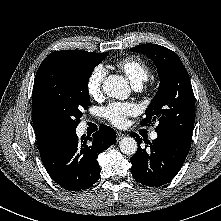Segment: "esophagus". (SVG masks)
<instances>
[{
  "label": "esophagus",
  "instance_id": "1",
  "mask_svg": "<svg viewBox=\"0 0 221 221\" xmlns=\"http://www.w3.org/2000/svg\"><path fill=\"white\" fill-rule=\"evenodd\" d=\"M117 140H120V139H122L124 136H125V134L124 133H122V132H117Z\"/></svg>",
  "mask_w": 221,
  "mask_h": 221
}]
</instances>
